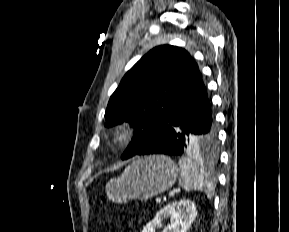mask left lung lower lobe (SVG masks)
I'll return each mask as SVG.
<instances>
[{"mask_svg":"<svg viewBox=\"0 0 289 232\" xmlns=\"http://www.w3.org/2000/svg\"><path fill=\"white\" fill-rule=\"evenodd\" d=\"M217 139L207 91L200 77L181 99L166 127L135 155H182L210 149Z\"/></svg>","mask_w":289,"mask_h":232,"instance_id":"0a47b994","label":"left lung lower lobe"}]
</instances>
